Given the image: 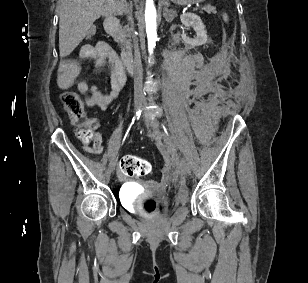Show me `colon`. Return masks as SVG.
<instances>
[{"label": "colon", "mask_w": 308, "mask_h": 283, "mask_svg": "<svg viewBox=\"0 0 308 283\" xmlns=\"http://www.w3.org/2000/svg\"><path fill=\"white\" fill-rule=\"evenodd\" d=\"M226 20V14H223ZM96 29L90 28L87 37L95 35ZM62 104L70 116L72 124L76 128V135L82 141H90L94 136V130L90 126L84 105L79 95L72 91H66L61 94ZM121 170L127 176H144L151 172V165L148 161L135 155H127L121 160ZM153 202L149 206H153Z\"/></svg>", "instance_id": "obj_1"}]
</instances>
